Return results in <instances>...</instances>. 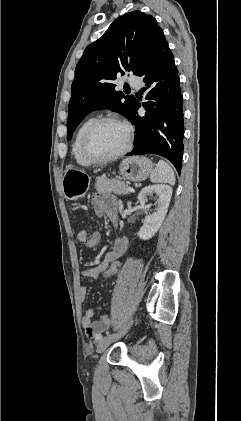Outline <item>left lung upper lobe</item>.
Instances as JSON below:
<instances>
[{
    "mask_svg": "<svg viewBox=\"0 0 241 421\" xmlns=\"http://www.w3.org/2000/svg\"><path fill=\"white\" fill-rule=\"evenodd\" d=\"M161 30L153 16L133 11L115 20L85 49L71 86L68 140L93 110L108 107L130 120L137 100L116 91L113 81L126 71L137 74Z\"/></svg>",
    "mask_w": 241,
    "mask_h": 421,
    "instance_id": "obj_1",
    "label": "left lung upper lobe"
}]
</instances>
